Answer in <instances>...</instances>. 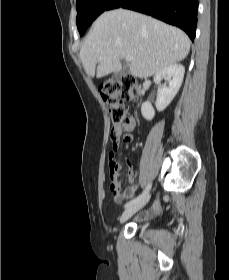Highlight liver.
Here are the masks:
<instances>
[{"label":"liver","instance_id":"6515ba94","mask_svg":"<svg viewBox=\"0 0 229 280\" xmlns=\"http://www.w3.org/2000/svg\"><path fill=\"white\" fill-rule=\"evenodd\" d=\"M190 39L180 29L125 9L101 14L80 49L90 77L102 78L121 70V59L133 57L131 75L148 78L186 58Z\"/></svg>","mask_w":229,"mask_h":280}]
</instances>
